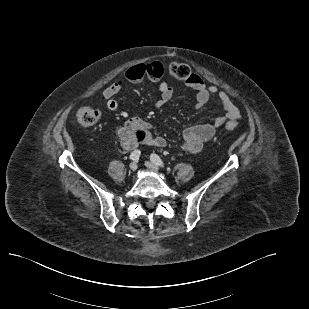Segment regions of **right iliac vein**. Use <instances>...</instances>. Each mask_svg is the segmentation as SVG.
Listing matches in <instances>:
<instances>
[{"instance_id":"obj_1","label":"right iliac vein","mask_w":309,"mask_h":309,"mask_svg":"<svg viewBox=\"0 0 309 309\" xmlns=\"http://www.w3.org/2000/svg\"><path fill=\"white\" fill-rule=\"evenodd\" d=\"M137 168H138V165H137L136 162H132V163L130 164V169H131L132 171L137 170Z\"/></svg>"}]
</instances>
